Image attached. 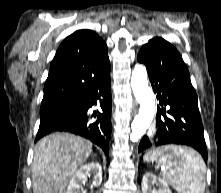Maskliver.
I'll list each match as a JSON object with an SVG mask.
<instances>
[{
    "instance_id": "6515ba94",
    "label": "liver",
    "mask_w": 221,
    "mask_h": 193,
    "mask_svg": "<svg viewBox=\"0 0 221 193\" xmlns=\"http://www.w3.org/2000/svg\"><path fill=\"white\" fill-rule=\"evenodd\" d=\"M92 152V143L68 133L39 140L32 163L33 193H65L69 179Z\"/></svg>"
}]
</instances>
